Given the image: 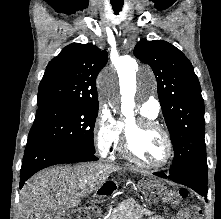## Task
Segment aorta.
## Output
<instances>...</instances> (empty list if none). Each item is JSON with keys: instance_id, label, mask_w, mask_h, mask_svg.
Segmentation results:
<instances>
[{"instance_id": "762f6f07", "label": "aorta", "mask_w": 221, "mask_h": 219, "mask_svg": "<svg viewBox=\"0 0 221 219\" xmlns=\"http://www.w3.org/2000/svg\"><path fill=\"white\" fill-rule=\"evenodd\" d=\"M137 64L134 59L126 57L121 60L119 70L124 71L127 75L133 76L136 72ZM115 78L109 74H103L100 79V91L103 98L110 102H118L119 98L115 92ZM121 111L126 117L134 116V90L128 96L121 98Z\"/></svg>"}]
</instances>
